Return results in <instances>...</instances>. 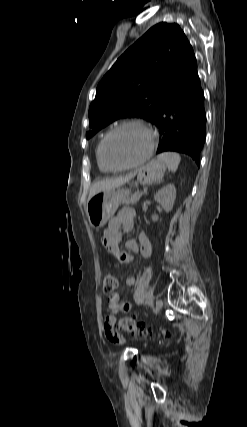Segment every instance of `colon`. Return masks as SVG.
Returning a JSON list of instances; mask_svg holds the SVG:
<instances>
[{
	"label": "colon",
	"instance_id": "5ec220e1",
	"mask_svg": "<svg viewBox=\"0 0 247 427\" xmlns=\"http://www.w3.org/2000/svg\"><path fill=\"white\" fill-rule=\"evenodd\" d=\"M118 287V279L115 275L107 274L103 280V290L105 293H113ZM119 326L122 330L136 333L143 329L141 323H139L135 317H125L119 322Z\"/></svg>",
	"mask_w": 247,
	"mask_h": 427
}]
</instances>
